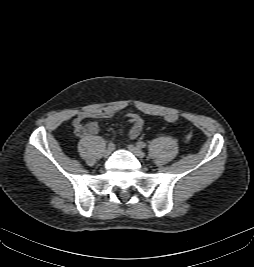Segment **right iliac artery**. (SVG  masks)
<instances>
[{
    "label": "right iliac artery",
    "mask_w": 254,
    "mask_h": 267,
    "mask_svg": "<svg viewBox=\"0 0 254 267\" xmlns=\"http://www.w3.org/2000/svg\"><path fill=\"white\" fill-rule=\"evenodd\" d=\"M108 146H109V147H114V144H113L112 142H110V143L108 144Z\"/></svg>",
    "instance_id": "1"
}]
</instances>
